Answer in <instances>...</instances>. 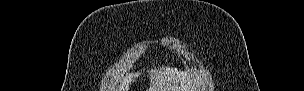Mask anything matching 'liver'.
<instances>
[{
    "mask_svg": "<svg viewBox=\"0 0 304 91\" xmlns=\"http://www.w3.org/2000/svg\"><path fill=\"white\" fill-rule=\"evenodd\" d=\"M150 76V88L148 91H194L195 80L187 71H178L170 66H163L158 70L148 71ZM131 82V74L122 76L120 85L116 91H128Z\"/></svg>",
    "mask_w": 304,
    "mask_h": 91,
    "instance_id": "liver-1",
    "label": "liver"
}]
</instances>
